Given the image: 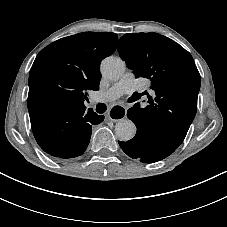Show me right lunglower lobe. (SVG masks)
Listing matches in <instances>:
<instances>
[{
  "label": "right lung lower lobe",
  "mask_w": 227,
  "mask_h": 227,
  "mask_svg": "<svg viewBox=\"0 0 227 227\" xmlns=\"http://www.w3.org/2000/svg\"><path fill=\"white\" fill-rule=\"evenodd\" d=\"M29 114L38 145L62 159L82 155L89 144L92 125L104 119L91 108H60L47 99H40Z\"/></svg>",
  "instance_id": "obj_1"
}]
</instances>
